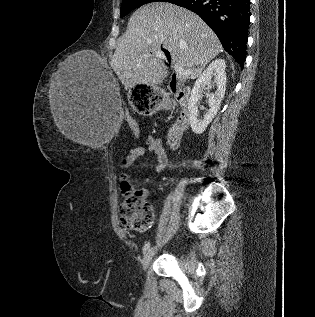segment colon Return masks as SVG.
<instances>
[{"label":"colon","instance_id":"colon-1","mask_svg":"<svg viewBox=\"0 0 315 317\" xmlns=\"http://www.w3.org/2000/svg\"><path fill=\"white\" fill-rule=\"evenodd\" d=\"M127 122L132 131L138 135L139 125L133 117H127ZM123 202L121 206L122 220L129 227L137 230L149 228L155 220L153 206L147 201L142 190L131 188L129 181L122 184Z\"/></svg>","mask_w":315,"mask_h":317}]
</instances>
